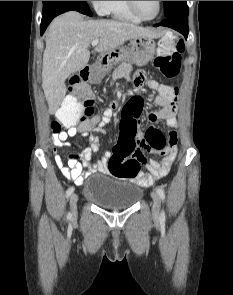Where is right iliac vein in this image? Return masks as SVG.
Returning <instances> with one entry per match:
<instances>
[{
    "label": "right iliac vein",
    "mask_w": 233,
    "mask_h": 295,
    "mask_svg": "<svg viewBox=\"0 0 233 295\" xmlns=\"http://www.w3.org/2000/svg\"><path fill=\"white\" fill-rule=\"evenodd\" d=\"M77 202H78V195L74 193L72 194L70 198V210L73 216L77 214Z\"/></svg>",
    "instance_id": "right-iliac-vein-1"
}]
</instances>
